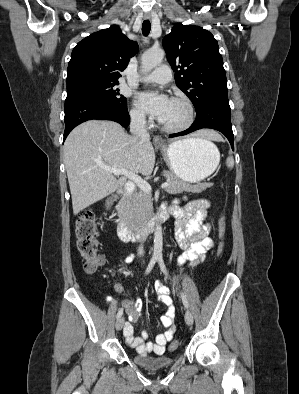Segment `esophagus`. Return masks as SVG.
<instances>
[{
  "mask_svg": "<svg viewBox=\"0 0 299 394\" xmlns=\"http://www.w3.org/2000/svg\"><path fill=\"white\" fill-rule=\"evenodd\" d=\"M150 18H151V15L149 13H146L144 15V19L145 20H149ZM153 140H154L156 145H159V146L162 145V139L159 136L155 135Z\"/></svg>",
  "mask_w": 299,
  "mask_h": 394,
  "instance_id": "esophagus-1",
  "label": "esophagus"
}]
</instances>
